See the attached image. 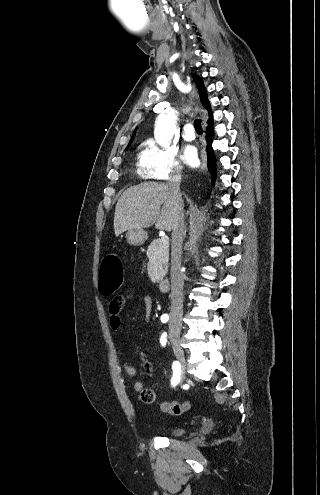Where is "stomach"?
<instances>
[{
	"label": "stomach",
	"instance_id": "0dacf381",
	"mask_svg": "<svg viewBox=\"0 0 320 495\" xmlns=\"http://www.w3.org/2000/svg\"><path fill=\"white\" fill-rule=\"evenodd\" d=\"M126 238L130 245L139 246L147 240V233L143 229H130L126 232Z\"/></svg>",
	"mask_w": 320,
	"mask_h": 495
}]
</instances>
